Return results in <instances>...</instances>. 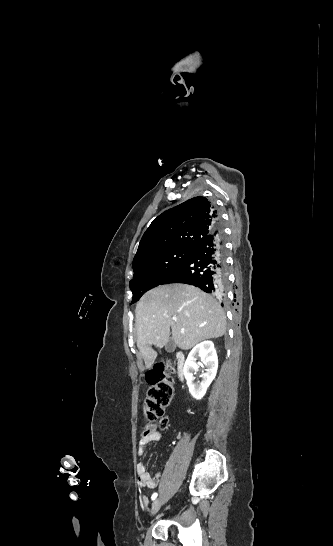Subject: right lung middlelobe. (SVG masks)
<instances>
[{
	"instance_id": "right-lung-middle-lobe-1",
	"label": "right lung middle lobe",
	"mask_w": 333,
	"mask_h": 546,
	"mask_svg": "<svg viewBox=\"0 0 333 546\" xmlns=\"http://www.w3.org/2000/svg\"><path fill=\"white\" fill-rule=\"evenodd\" d=\"M192 252V247H176L160 252L133 267L134 276L130 281L133 292L132 303L149 289L159 285L175 267Z\"/></svg>"
}]
</instances>
